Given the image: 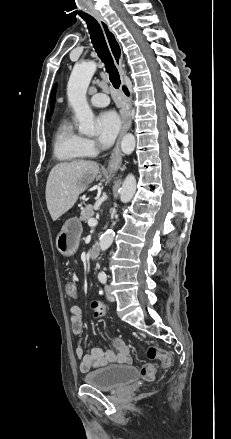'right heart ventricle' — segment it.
<instances>
[{
  "label": "right heart ventricle",
  "instance_id": "1",
  "mask_svg": "<svg viewBox=\"0 0 231 439\" xmlns=\"http://www.w3.org/2000/svg\"><path fill=\"white\" fill-rule=\"evenodd\" d=\"M53 151L59 161L73 162L86 156L82 147V137L68 121H63L55 135Z\"/></svg>",
  "mask_w": 231,
  "mask_h": 439
}]
</instances>
